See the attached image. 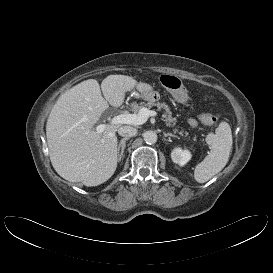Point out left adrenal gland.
<instances>
[{
	"label": "left adrenal gland",
	"instance_id": "a2214340",
	"mask_svg": "<svg viewBox=\"0 0 273 273\" xmlns=\"http://www.w3.org/2000/svg\"><path fill=\"white\" fill-rule=\"evenodd\" d=\"M164 137H174V138H178L176 135L172 134V133H166L163 132Z\"/></svg>",
	"mask_w": 273,
	"mask_h": 273
}]
</instances>
